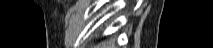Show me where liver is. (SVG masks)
I'll list each match as a JSON object with an SVG mask.
<instances>
[{"label": "liver", "mask_w": 213, "mask_h": 48, "mask_svg": "<svg viewBox=\"0 0 213 48\" xmlns=\"http://www.w3.org/2000/svg\"><path fill=\"white\" fill-rule=\"evenodd\" d=\"M101 46H102L101 48H108V47H105V46H109V45L102 44Z\"/></svg>", "instance_id": "obj_1"}]
</instances>
